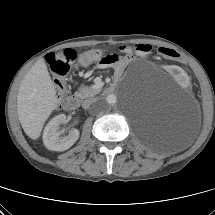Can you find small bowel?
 <instances>
[{
	"label": "small bowel",
	"mask_w": 215,
	"mask_h": 215,
	"mask_svg": "<svg viewBox=\"0 0 215 215\" xmlns=\"http://www.w3.org/2000/svg\"><path fill=\"white\" fill-rule=\"evenodd\" d=\"M121 51L124 56H118L116 54L107 55L98 63L99 68L112 67L115 70L116 75H120L127 64L134 58L133 55L139 57H149L153 55L154 48L148 44H139L134 49L128 46H122Z\"/></svg>",
	"instance_id": "obj_1"
}]
</instances>
